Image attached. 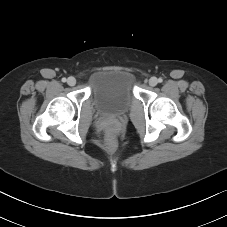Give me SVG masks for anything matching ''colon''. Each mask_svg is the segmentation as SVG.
<instances>
[{"instance_id": "1", "label": "colon", "mask_w": 227, "mask_h": 227, "mask_svg": "<svg viewBox=\"0 0 227 227\" xmlns=\"http://www.w3.org/2000/svg\"><path fill=\"white\" fill-rule=\"evenodd\" d=\"M116 147L114 138L110 135L108 136L107 142L105 144V149L107 152L112 153L114 152Z\"/></svg>"}]
</instances>
